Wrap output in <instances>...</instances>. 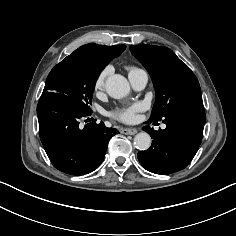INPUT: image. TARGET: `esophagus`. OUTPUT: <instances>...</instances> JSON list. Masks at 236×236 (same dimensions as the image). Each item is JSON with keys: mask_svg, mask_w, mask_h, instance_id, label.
Masks as SVG:
<instances>
[{"mask_svg": "<svg viewBox=\"0 0 236 236\" xmlns=\"http://www.w3.org/2000/svg\"><path fill=\"white\" fill-rule=\"evenodd\" d=\"M138 131L135 128H124L121 130L122 134H126V135H134L136 134Z\"/></svg>", "mask_w": 236, "mask_h": 236, "instance_id": "1", "label": "esophagus"}]
</instances>
